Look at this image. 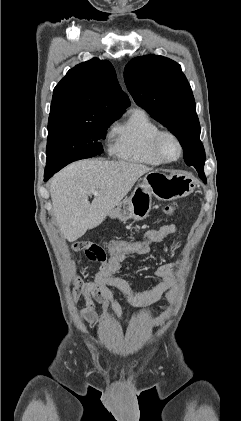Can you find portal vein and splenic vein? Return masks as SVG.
Instances as JSON below:
<instances>
[{"label":"portal vein and splenic vein","mask_w":241,"mask_h":421,"mask_svg":"<svg viewBox=\"0 0 241 421\" xmlns=\"http://www.w3.org/2000/svg\"><path fill=\"white\" fill-rule=\"evenodd\" d=\"M90 194H93V195H98V194H99V192H98V191H96V190H91Z\"/></svg>","instance_id":"1"}]
</instances>
